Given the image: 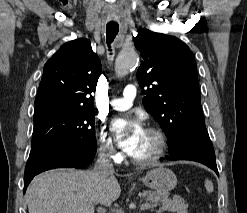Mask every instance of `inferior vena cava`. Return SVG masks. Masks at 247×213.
<instances>
[{"instance_id": "1", "label": "inferior vena cava", "mask_w": 247, "mask_h": 213, "mask_svg": "<svg viewBox=\"0 0 247 213\" xmlns=\"http://www.w3.org/2000/svg\"><path fill=\"white\" fill-rule=\"evenodd\" d=\"M112 154L113 150L109 146H103L100 148L94 170L102 177H106L114 172L111 161Z\"/></svg>"}]
</instances>
